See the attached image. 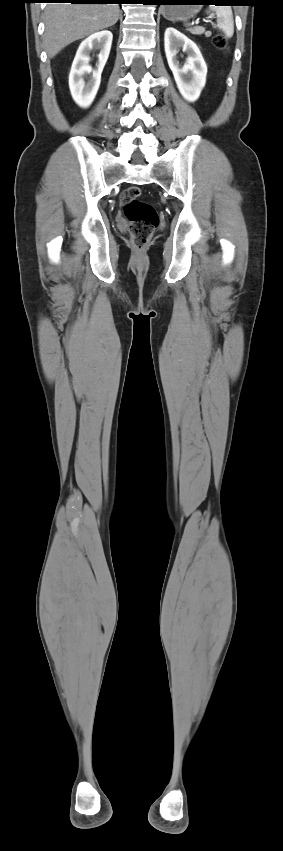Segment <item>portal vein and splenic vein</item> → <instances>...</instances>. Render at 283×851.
Returning a JSON list of instances; mask_svg holds the SVG:
<instances>
[{
    "mask_svg": "<svg viewBox=\"0 0 283 851\" xmlns=\"http://www.w3.org/2000/svg\"><path fill=\"white\" fill-rule=\"evenodd\" d=\"M204 22H210V20H209V19H207V20H204ZM195 23H196V24H198V23H199V21H198V20H196V22H195Z\"/></svg>",
    "mask_w": 283,
    "mask_h": 851,
    "instance_id": "1",
    "label": "portal vein and splenic vein"
}]
</instances>
